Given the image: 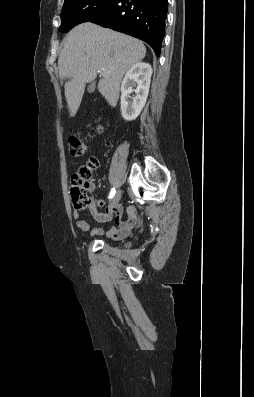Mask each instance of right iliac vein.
Returning a JSON list of instances; mask_svg holds the SVG:
<instances>
[{"instance_id": "1", "label": "right iliac vein", "mask_w": 254, "mask_h": 397, "mask_svg": "<svg viewBox=\"0 0 254 397\" xmlns=\"http://www.w3.org/2000/svg\"><path fill=\"white\" fill-rule=\"evenodd\" d=\"M121 194H122L121 190H118L116 192V194L112 198V201H111V204H110L111 206H115L116 204H118V202L121 199Z\"/></svg>"}]
</instances>
